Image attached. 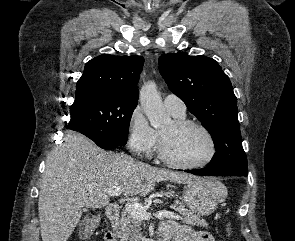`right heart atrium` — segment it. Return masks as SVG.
I'll use <instances>...</instances> for the list:
<instances>
[{
    "label": "right heart atrium",
    "mask_w": 295,
    "mask_h": 241,
    "mask_svg": "<svg viewBox=\"0 0 295 241\" xmlns=\"http://www.w3.org/2000/svg\"><path fill=\"white\" fill-rule=\"evenodd\" d=\"M128 145L139 154H149L157 142V133L150 126L140 107L135 108L128 120Z\"/></svg>",
    "instance_id": "1"
}]
</instances>
